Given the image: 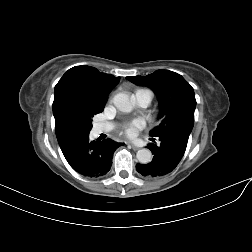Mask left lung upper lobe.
Segmentation results:
<instances>
[{
    "label": "left lung upper lobe",
    "instance_id": "1",
    "mask_svg": "<svg viewBox=\"0 0 252 252\" xmlns=\"http://www.w3.org/2000/svg\"><path fill=\"white\" fill-rule=\"evenodd\" d=\"M126 78L134 84L153 89L158 96V119H161V123L150 132L151 136L159 137L171 131L191 133L196 99L193 88L180 74L169 70H157L147 76Z\"/></svg>",
    "mask_w": 252,
    "mask_h": 252
}]
</instances>
